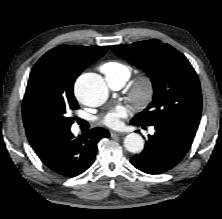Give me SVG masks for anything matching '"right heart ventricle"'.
<instances>
[{
	"instance_id": "right-heart-ventricle-1",
	"label": "right heart ventricle",
	"mask_w": 222,
	"mask_h": 219,
	"mask_svg": "<svg viewBox=\"0 0 222 219\" xmlns=\"http://www.w3.org/2000/svg\"><path fill=\"white\" fill-rule=\"evenodd\" d=\"M101 71L108 77H122L125 81L129 79L132 69L129 65L121 61H108L101 65Z\"/></svg>"
}]
</instances>
